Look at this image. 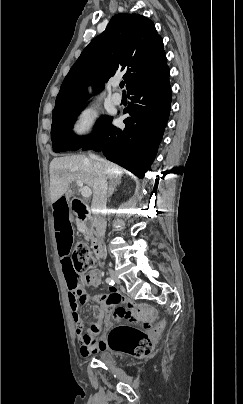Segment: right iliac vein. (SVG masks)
Segmentation results:
<instances>
[{
    "label": "right iliac vein",
    "mask_w": 243,
    "mask_h": 404,
    "mask_svg": "<svg viewBox=\"0 0 243 404\" xmlns=\"http://www.w3.org/2000/svg\"><path fill=\"white\" fill-rule=\"evenodd\" d=\"M110 277L115 280L118 284H120V280L115 272H110Z\"/></svg>",
    "instance_id": "1"
}]
</instances>
